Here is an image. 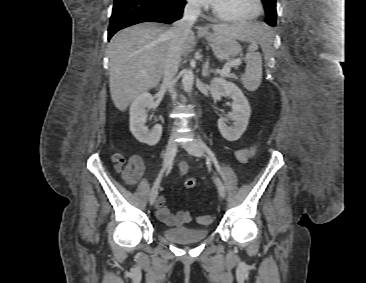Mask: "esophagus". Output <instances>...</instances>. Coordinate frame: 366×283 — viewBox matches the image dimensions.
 <instances>
[{"label":"esophagus","instance_id":"obj_1","mask_svg":"<svg viewBox=\"0 0 366 283\" xmlns=\"http://www.w3.org/2000/svg\"><path fill=\"white\" fill-rule=\"evenodd\" d=\"M200 30L201 31H207V28L206 27H200Z\"/></svg>","mask_w":366,"mask_h":283}]
</instances>
